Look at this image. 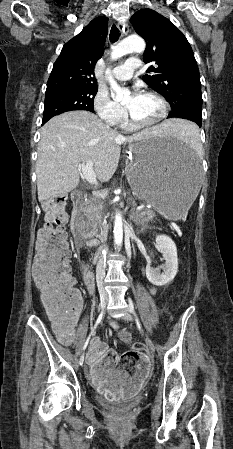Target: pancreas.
<instances>
[{"instance_id": "cf45deb5", "label": "pancreas", "mask_w": 233, "mask_h": 449, "mask_svg": "<svg viewBox=\"0 0 233 449\" xmlns=\"http://www.w3.org/2000/svg\"><path fill=\"white\" fill-rule=\"evenodd\" d=\"M85 211L89 218V222L94 228V233H97V227L101 225L103 220V202L100 197L93 196L89 199L85 206ZM131 217L138 224H146L155 217V213L149 209H143L140 211H133Z\"/></svg>"}]
</instances>
